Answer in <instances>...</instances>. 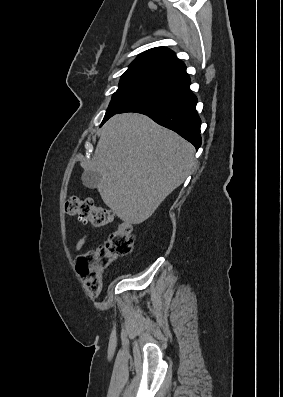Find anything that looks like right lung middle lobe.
I'll return each mask as SVG.
<instances>
[{
    "label": "right lung middle lobe",
    "instance_id": "right-lung-middle-lobe-1",
    "mask_svg": "<svg viewBox=\"0 0 283 397\" xmlns=\"http://www.w3.org/2000/svg\"><path fill=\"white\" fill-rule=\"evenodd\" d=\"M167 86L169 84L166 81L150 78L143 73L123 74L101 126L125 107Z\"/></svg>",
    "mask_w": 283,
    "mask_h": 397
}]
</instances>
